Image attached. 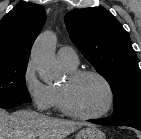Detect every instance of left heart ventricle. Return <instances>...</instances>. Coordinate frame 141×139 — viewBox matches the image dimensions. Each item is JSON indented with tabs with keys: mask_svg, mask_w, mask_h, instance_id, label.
Segmentation results:
<instances>
[{
	"mask_svg": "<svg viewBox=\"0 0 141 139\" xmlns=\"http://www.w3.org/2000/svg\"><path fill=\"white\" fill-rule=\"evenodd\" d=\"M67 84L66 78L60 86ZM68 96L72 107L83 114H97L108 102L105 85L94 76H85L72 83L68 88Z\"/></svg>",
	"mask_w": 141,
	"mask_h": 139,
	"instance_id": "left-heart-ventricle-1",
	"label": "left heart ventricle"
}]
</instances>
